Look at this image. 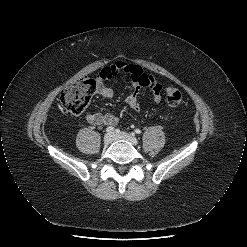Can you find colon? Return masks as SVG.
<instances>
[{
	"label": "colon",
	"mask_w": 247,
	"mask_h": 247,
	"mask_svg": "<svg viewBox=\"0 0 247 247\" xmlns=\"http://www.w3.org/2000/svg\"><path fill=\"white\" fill-rule=\"evenodd\" d=\"M96 91V81L89 78L79 79L71 83L60 95L62 107L71 114L81 115L87 108L91 97ZM167 103L177 107L182 102V95L175 87L165 91Z\"/></svg>",
	"instance_id": "obj_1"
}]
</instances>
